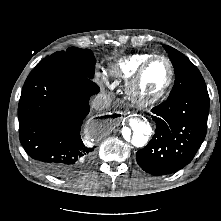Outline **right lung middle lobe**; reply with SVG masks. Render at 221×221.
Segmentation results:
<instances>
[{
  "label": "right lung middle lobe",
  "instance_id": "1",
  "mask_svg": "<svg viewBox=\"0 0 221 221\" xmlns=\"http://www.w3.org/2000/svg\"><path fill=\"white\" fill-rule=\"evenodd\" d=\"M95 58L89 49L70 47L67 51H59L41 60L37 66L54 64L71 72L92 79L95 69Z\"/></svg>",
  "mask_w": 221,
  "mask_h": 221
}]
</instances>
